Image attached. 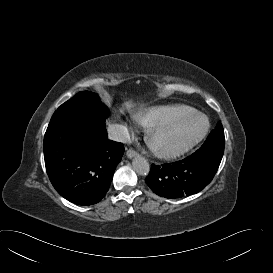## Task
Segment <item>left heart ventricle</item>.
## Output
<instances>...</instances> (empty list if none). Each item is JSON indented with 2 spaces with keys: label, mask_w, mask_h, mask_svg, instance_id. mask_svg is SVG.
<instances>
[{
  "label": "left heart ventricle",
  "mask_w": 273,
  "mask_h": 273,
  "mask_svg": "<svg viewBox=\"0 0 273 273\" xmlns=\"http://www.w3.org/2000/svg\"><path fill=\"white\" fill-rule=\"evenodd\" d=\"M203 127L204 120L194 117L178 127L160 133L155 141L159 148H178L192 141Z\"/></svg>",
  "instance_id": "1"
}]
</instances>
